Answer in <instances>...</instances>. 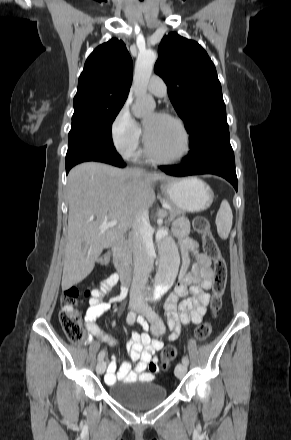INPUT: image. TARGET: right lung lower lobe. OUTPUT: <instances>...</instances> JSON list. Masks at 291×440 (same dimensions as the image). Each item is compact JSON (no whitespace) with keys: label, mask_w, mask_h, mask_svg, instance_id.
Wrapping results in <instances>:
<instances>
[{"label":"right lung lower lobe","mask_w":291,"mask_h":440,"mask_svg":"<svg viewBox=\"0 0 291 440\" xmlns=\"http://www.w3.org/2000/svg\"><path fill=\"white\" fill-rule=\"evenodd\" d=\"M85 161L104 162L117 167L125 166L115 149L85 143H77L68 146L66 154V173H68L76 164Z\"/></svg>","instance_id":"obj_1"}]
</instances>
